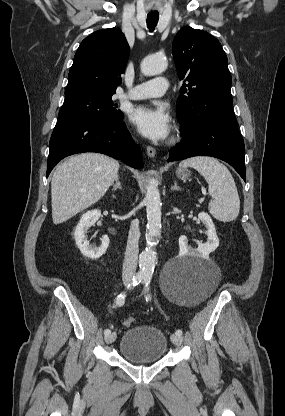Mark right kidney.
<instances>
[{
	"label": "right kidney",
	"mask_w": 285,
	"mask_h": 416,
	"mask_svg": "<svg viewBox=\"0 0 285 416\" xmlns=\"http://www.w3.org/2000/svg\"><path fill=\"white\" fill-rule=\"evenodd\" d=\"M100 216V210H90V212L83 214L79 224L75 228L74 238L76 246L79 248L81 254L89 258V260H98V258H101L110 244L108 236H103L100 248H94V246H90L85 236L87 230L96 224Z\"/></svg>",
	"instance_id": "obj_1"
}]
</instances>
